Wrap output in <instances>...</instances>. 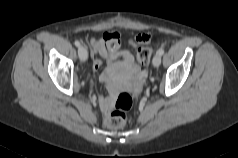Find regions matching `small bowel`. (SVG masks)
<instances>
[{"mask_svg": "<svg viewBox=\"0 0 238 158\" xmlns=\"http://www.w3.org/2000/svg\"><path fill=\"white\" fill-rule=\"evenodd\" d=\"M138 42L146 43L150 40L148 35H139ZM91 50L93 55L104 59L108 64L112 65L114 62H120L121 66L129 72H137L133 55L126 50H120V34L118 32L104 33L100 38H93L90 41ZM100 58L93 60V69L99 71L103 65ZM143 74L139 73L140 78ZM103 80L109 79V73L107 71L101 74ZM100 105L103 111L108 112L112 106L110 97L100 98Z\"/></svg>", "mask_w": 238, "mask_h": 158, "instance_id": "obj_1", "label": "small bowel"}]
</instances>
